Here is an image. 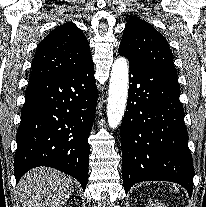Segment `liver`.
<instances>
[{"label":"liver","mask_w":206,"mask_h":207,"mask_svg":"<svg viewBox=\"0 0 206 207\" xmlns=\"http://www.w3.org/2000/svg\"><path fill=\"white\" fill-rule=\"evenodd\" d=\"M73 180L50 168H35L18 183L23 207H62L73 193Z\"/></svg>","instance_id":"obj_1"}]
</instances>
